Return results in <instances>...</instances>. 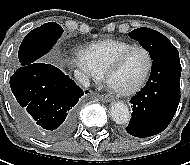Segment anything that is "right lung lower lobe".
I'll return each mask as SVG.
<instances>
[{
    "instance_id": "right-lung-lower-lobe-1",
    "label": "right lung lower lobe",
    "mask_w": 190,
    "mask_h": 165,
    "mask_svg": "<svg viewBox=\"0 0 190 165\" xmlns=\"http://www.w3.org/2000/svg\"><path fill=\"white\" fill-rule=\"evenodd\" d=\"M10 87L15 114L28 131L60 140L74 130L84 92L60 69L40 61L22 66L10 78Z\"/></svg>"
}]
</instances>
